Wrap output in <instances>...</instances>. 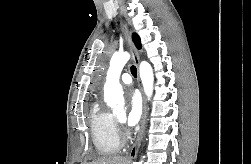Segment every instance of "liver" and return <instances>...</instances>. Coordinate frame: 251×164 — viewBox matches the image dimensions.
I'll list each match as a JSON object with an SVG mask.
<instances>
[{"label":"liver","instance_id":"6515ba94","mask_svg":"<svg viewBox=\"0 0 251 164\" xmlns=\"http://www.w3.org/2000/svg\"><path fill=\"white\" fill-rule=\"evenodd\" d=\"M87 164H129V162L124 157L114 156L99 158L96 161Z\"/></svg>","mask_w":251,"mask_h":164}]
</instances>
